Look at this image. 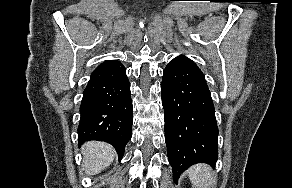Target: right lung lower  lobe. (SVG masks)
<instances>
[{"instance_id": "1", "label": "right lung lower lobe", "mask_w": 292, "mask_h": 188, "mask_svg": "<svg viewBox=\"0 0 292 188\" xmlns=\"http://www.w3.org/2000/svg\"><path fill=\"white\" fill-rule=\"evenodd\" d=\"M79 144L88 140L115 147L119 160L131 139L133 113L125 67L116 60L101 63L91 74L80 105Z\"/></svg>"}]
</instances>
